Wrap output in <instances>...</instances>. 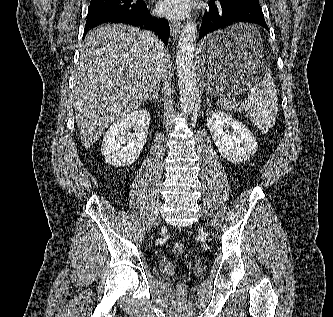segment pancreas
I'll list each match as a JSON object with an SVG mask.
<instances>
[{
    "instance_id": "pancreas-1",
    "label": "pancreas",
    "mask_w": 333,
    "mask_h": 317,
    "mask_svg": "<svg viewBox=\"0 0 333 317\" xmlns=\"http://www.w3.org/2000/svg\"><path fill=\"white\" fill-rule=\"evenodd\" d=\"M223 107L228 109H235V105H232L230 101H225V103H223Z\"/></svg>"
}]
</instances>
